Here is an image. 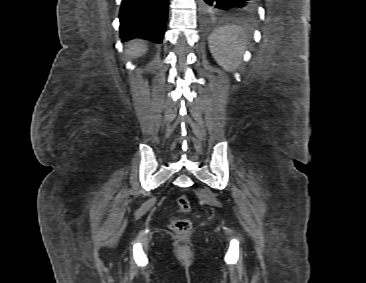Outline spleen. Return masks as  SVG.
<instances>
[{
    "label": "spleen",
    "mask_w": 366,
    "mask_h": 283,
    "mask_svg": "<svg viewBox=\"0 0 366 283\" xmlns=\"http://www.w3.org/2000/svg\"><path fill=\"white\" fill-rule=\"evenodd\" d=\"M244 30L236 25H228L216 29L209 36V49L226 71L236 69L241 61L247 44Z\"/></svg>",
    "instance_id": "spleen-1"
}]
</instances>
